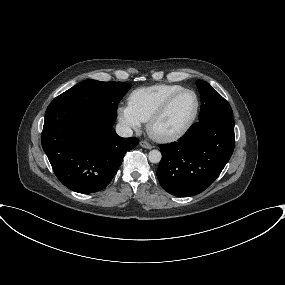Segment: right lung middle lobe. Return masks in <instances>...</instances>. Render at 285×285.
I'll return each mask as SVG.
<instances>
[{
	"label": "right lung middle lobe",
	"instance_id": "dd1d6c3e",
	"mask_svg": "<svg viewBox=\"0 0 285 285\" xmlns=\"http://www.w3.org/2000/svg\"><path fill=\"white\" fill-rule=\"evenodd\" d=\"M130 87V84L123 82L86 80L56 98L78 102L116 118L118 104Z\"/></svg>",
	"mask_w": 285,
	"mask_h": 285
}]
</instances>
